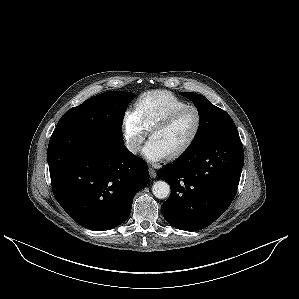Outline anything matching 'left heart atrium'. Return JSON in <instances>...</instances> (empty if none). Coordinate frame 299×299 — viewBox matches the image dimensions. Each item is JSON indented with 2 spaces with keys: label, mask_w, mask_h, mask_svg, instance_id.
<instances>
[{
  "label": "left heart atrium",
  "mask_w": 299,
  "mask_h": 299,
  "mask_svg": "<svg viewBox=\"0 0 299 299\" xmlns=\"http://www.w3.org/2000/svg\"><path fill=\"white\" fill-rule=\"evenodd\" d=\"M143 155L151 162H157L167 156L166 151L152 138L143 148Z\"/></svg>",
  "instance_id": "1"
}]
</instances>
